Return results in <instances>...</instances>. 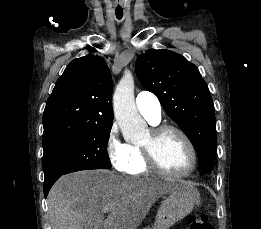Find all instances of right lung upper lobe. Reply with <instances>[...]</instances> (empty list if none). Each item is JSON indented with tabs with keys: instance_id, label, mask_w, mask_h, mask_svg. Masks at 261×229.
<instances>
[{
	"instance_id": "1",
	"label": "right lung upper lobe",
	"mask_w": 261,
	"mask_h": 229,
	"mask_svg": "<svg viewBox=\"0 0 261 229\" xmlns=\"http://www.w3.org/2000/svg\"><path fill=\"white\" fill-rule=\"evenodd\" d=\"M112 78L105 61L89 54L69 63L47 100L43 146L69 140L91 126L113 123Z\"/></svg>"
}]
</instances>
